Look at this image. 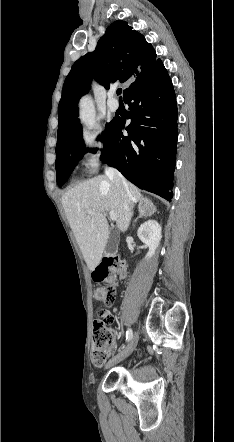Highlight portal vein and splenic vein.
<instances>
[{
  "label": "portal vein and splenic vein",
  "instance_id": "1",
  "mask_svg": "<svg viewBox=\"0 0 234 442\" xmlns=\"http://www.w3.org/2000/svg\"><path fill=\"white\" fill-rule=\"evenodd\" d=\"M92 213V211L91 210H88V214H91ZM109 215H110V219L111 220H113V221H116L117 220V216H116V213H114V212H109Z\"/></svg>",
  "mask_w": 234,
  "mask_h": 442
}]
</instances>
